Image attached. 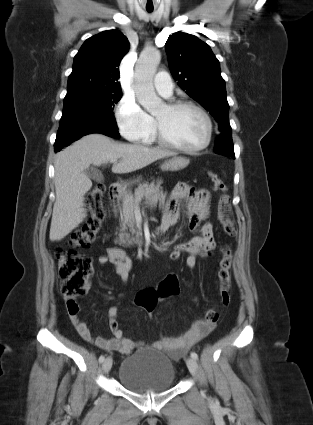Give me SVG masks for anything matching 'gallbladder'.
<instances>
[{"label":"gallbladder","mask_w":313,"mask_h":425,"mask_svg":"<svg viewBox=\"0 0 313 425\" xmlns=\"http://www.w3.org/2000/svg\"><path fill=\"white\" fill-rule=\"evenodd\" d=\"M86 173L89 177H91L93 180L97 181V182H102L104 180L103 175L101 174L100 171H98L95 168H88L86 170Z\"/></svg>","instance_id":"bac80fb5"}]
</instances>
